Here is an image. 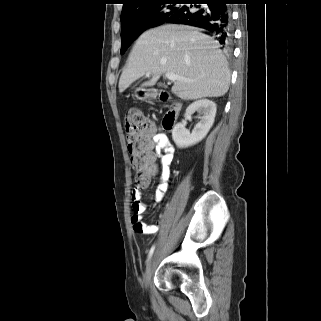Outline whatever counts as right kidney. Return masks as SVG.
<instances>
[{
	"mask_svg": "<svg viewBox=\"0 0 321 321\" xmlns=\"http://www.w3.org/2000/svg\"><path fill=\"white\" fill-rule=\"evenodd\" d=\"M195 112L201 114L202 117L192 133H189L185 128L186 123H177L172 131L173 141L179 148L195 145L205 138L214 123L216 104L208 99L197 100L187 107L186 115L190 116Z\"/></svg>",
	"mask_w": 321,
	"mask_h": 321,
	"instance_id": "right-kidney-1",
	"label": "right kidney"
}]
</instances>
